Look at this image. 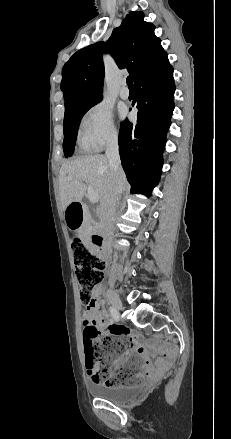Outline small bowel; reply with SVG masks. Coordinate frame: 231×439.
Masks as SVG:
<instances>
[{"label": "small bowel", "mask_w": 231, "mask_h": 439, "mask_svg": "<svg viewBox=\"0 0 231 439\" xmlns=\"http://www.w3.org/2000/svg\"><path fill=\"white\" fill-rule=\"evenodd\" d=\"M99 292L97 289L95 291L96 295ZM82 321L84 326L83 331V346L86 344H97L101 339L100 329L107 328L112 335H118L126 339L129 344L134 346V350L126 355L125 357L118 359L114 365L110 368L109 373H115L122 363L130 360L131 355L137 356L145 365V375L153 376L156 371L163 367L165 361L160 365L155 366L150 358L147 350L139 344L137 337L133 335L131 330L124 326H115L114 324H109L106 319V314L100 309V303L97 299L94 300V304L88 307L82 315Z\"/></svg>", "instance_id": "small-bowel-1"}]
</instances>
